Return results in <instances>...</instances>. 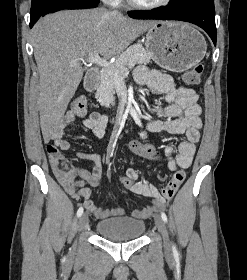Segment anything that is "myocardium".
<instances>
[{"label":"myocardium","instance_id":"f54148a6","mask_svg":"<svg viewBox=\"0 0 247 280\" xmlns=\"http://www.w3.org/2000/svg\"><path fill=\"white\" fill-rule=\"evenodd\" d=\"M128 3L136 8V9H140V10H157L160 8H163L165 6H167L168 4H170L171 0H159L157 2L151 3V4H143L140 2H137L136 0H127Z\"/></svg>","mask_w":247,"mask_h":280}]
</instances>
